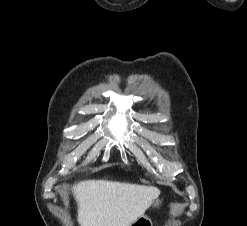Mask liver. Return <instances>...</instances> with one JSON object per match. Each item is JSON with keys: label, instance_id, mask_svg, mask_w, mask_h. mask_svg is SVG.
<instances>
[{"label": "liver", "instance_id": "1", "mask_svg": "<svg viewBox=\"0 0 247 226\" xmlns=\"http://www.w3.org/2000/svg\"><path fill=\"white\" fill-rule=\"evenodd\" d=\"M80 226H130L159 196L156 187L85 180L72 187Z\"/></svg>", "mask_w": 247, "mask_h": 226}]
</instances>
